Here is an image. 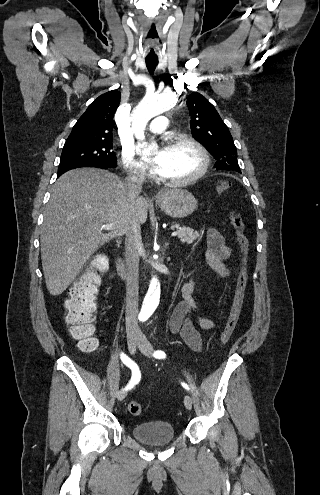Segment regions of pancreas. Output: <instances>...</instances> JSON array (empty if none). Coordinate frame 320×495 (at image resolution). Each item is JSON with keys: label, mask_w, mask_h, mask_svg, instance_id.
Returning a JSON list of instances; mask_svg holds the SVG:
<instances>
[{"label": "pancreas", "mask_w": 320, "mask_h": 495, "mask_svg": "<svg viewBox=\"0 0 320 495\" xmlns=\"http://www.w3.org/2000/svg\"><path fill=\"white\" fill-rule=\"evenodd\" d=\"M172 230H176L178 233V237L183 243L191 244L193 243L194 240L199 238V233L197 231H194L190 227L186 226H180L179 224H176L171 227Z\"/></svg>", "instance_id": "1"}]
</instances>
